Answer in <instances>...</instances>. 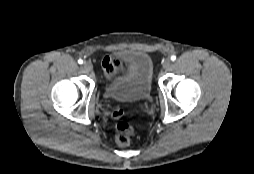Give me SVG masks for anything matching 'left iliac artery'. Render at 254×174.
<instances>
[{
  "mask_svg": "<svg viewBox=\"0 0 254 174\" xmlns=\"http://www.w3.org/2000/svg\"><path fill=\"white\" fill-rule=\"evenodd\" d=\"M171 60H172V61H175V60H176V56H175V55H172V56H171Z\"/></svg>",
  "mask_w": 254,
  "mask_h": 174,
  "instance_id": "1",
  "label": "left iliac artery"
}]
</instances>
